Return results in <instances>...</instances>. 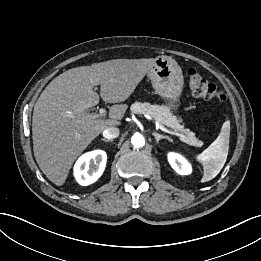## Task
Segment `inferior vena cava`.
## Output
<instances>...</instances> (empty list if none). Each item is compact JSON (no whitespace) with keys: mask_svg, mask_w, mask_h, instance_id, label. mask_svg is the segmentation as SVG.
I'll list each match as a JSON object with an SVG mask.
<instances>
[{"mask_svg":"<svg viewBox=\"0 0 261 261\" xmlns=\"http://www.w3.org/2000/svg\"><path fill=\"white\" fill-rule=\"evenodd\" d=\"M103 136L104 138L107 139H114L117 138L119 136V129L117 127H107L104 131H103Z\"/></svg>","mask_w":261,"mask_h":261,"instance_id":"602c4592","label":"inferior vena cava"}]
</instances>
